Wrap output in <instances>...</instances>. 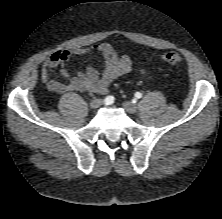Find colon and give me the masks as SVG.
Returning a JSON list of instances; mask_svg holds the SVG:
<instances>
[{"label": "colon", "mask_w": 222, "mask_h": 219, "mask_svg": "<svg viewBox=\"0 0 222 219\" xmlns=\"http://www.w3.org/2000/svg\"><path fill=\"white\" fill-rule=\"evenodd\" d=\"M161 60L170 65H181L183 63L182 56L174 50L163 53L161 55Z\"/></svg>", "instance_id": "1"}]
</instances>
